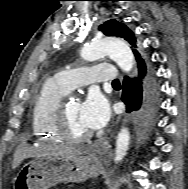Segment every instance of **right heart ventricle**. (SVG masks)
I'll return each mask as SVG.
<instances>
[{
  "label": "right heart ventricle",
  "instance_id": "obj_1",
  "mask_svg": "<svg viewBox=\"0 0 188 189\" xmlns=\"http://www.w3.org/2000/svg\"><path fill=\"white\" fill-rule=\"evenodd\" d=\"M68 92L55 79L44 81L31 110V128L35 138L49 142L62 140L54 118L63 97Z\"/></svg>",
  "mask_w": 188,
  "mask_h": 189
}]
</instances>
